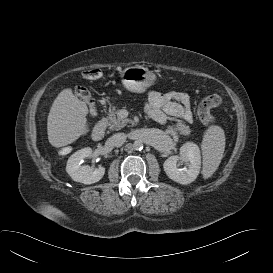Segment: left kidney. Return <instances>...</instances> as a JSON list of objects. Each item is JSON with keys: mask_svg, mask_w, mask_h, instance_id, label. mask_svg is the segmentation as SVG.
<instances>
[{"mask_svg": "<svg viewBox=\"0 0 273 273\" xmlns=\"http://www.w3.org/2000/svg\"><path fill=\"white\" fill-rule=\"evenodd\" d=\"M183 168H178L179 165ZM167 176L173 181L187 185L193 182L201 168V154L199 147L192 142L185 143L180 148L179 155L170 156L163 164Z\"/></svg>", "mask_w": 273, "mask_h": 273, "instance_id": "obj_1", "label": "left kidney"}]
</instances>
